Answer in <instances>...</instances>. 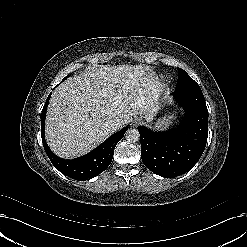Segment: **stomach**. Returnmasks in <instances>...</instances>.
<instances>
[{"mask_svg":"<svg viewBox=\"0 0 247 247\" xmlns=\"http://www.w3.org/2000/svg\"><path fill=\"white\" fill-rule=\"evenodd\" d=\"M175 118H176L175 113L167 114V115L163 116L162 118L158 119L154 123V128L160 129V130L167 129L170 125H172Z\"/></svg>","mask_w":247,"mask_h":247,"instance_id":"stomach-1","label":"stomach"}]
</instances>
